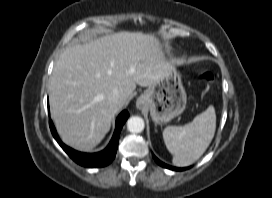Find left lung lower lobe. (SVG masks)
I'll return each mask as SVG.
<instances>
[{"label": "left lung lower lobe", "mask_w": 272, "mask_h": 198, "mask_svg": "<svg viewBox=\"0 0 272 198\" xmlns=\"http://www.w3.org/2000/svg\"><path fill=\"white\" fill-rule=\"evenodd\" d=\"M153 158L155 159V161L162 167H165V168H168V169H171V170H176V171H180V170H185L187 168H176V167H172V166H169L167 164H164L163 162H161L159 159H157L154 155H153Z\"/></svg>", "instance_id": "0a47b994"}]
</instances>
